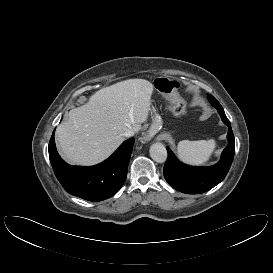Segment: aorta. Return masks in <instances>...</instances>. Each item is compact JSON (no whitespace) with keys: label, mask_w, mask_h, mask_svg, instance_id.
<instances>
[{"label":"aorta","mask_w":273,"mask_h":273,"mask_svg":"<svg viewBox=\"0 0 273 273\" xmlns=\"http://www.w3.org/2000/svg\"><path fill=\"white\" fill-rule=\"evenodd\" d=\"M150 156L151 158L158 162V163H163L166 161L167 158V150L165 146L161 143H154L150 147Z\"/></svg>","instance_id":"aorta-1"}]
</instances>
